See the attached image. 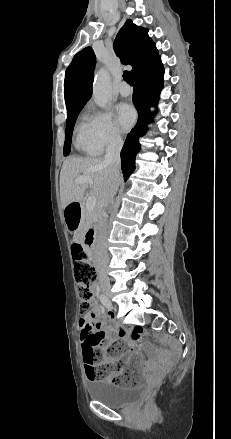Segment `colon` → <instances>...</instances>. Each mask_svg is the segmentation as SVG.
Wrapping results in <instances>:
<instances>
[{
	"label": "colon",
	"instance_id": "colon-1",
	"mask_svg": "<svg viewBox=\"0 0 231 439\" xmlns=\"http://www.w3.org/2000/svg\"><path fill=\"white\" fill-rule=\"evenodd\" d=\"M73 260V272L79 295V309L81 313L91 310L92 291L91 286L96 280V270L90 264L89 258L82 246L74 243L71 248ZM124 351V346L116 342L107 350V355L117 357ZM105 356L95 347H86L83 351V360L87 377L90 380H103L109 378L111 382L121 386H133L138 382L132 369H120L112 372L116 364L103 362Z\"/></svg>",
	"mask_w": 231,
	"mask_h": 439
}]
</instances>
